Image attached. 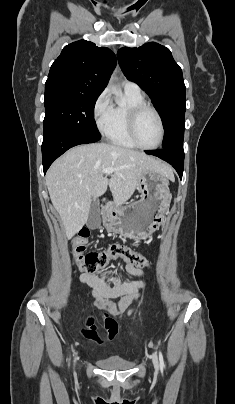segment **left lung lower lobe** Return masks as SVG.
<instances>
[{
  "label": "left lung lower lobe",
  "mask_w": 235,
  "mask_h": 404,
  "mask_svg": "<svg viewBox=\"0 0 235 404\" xmlns=\"http://www.w3.org/2000/svg\"><path fill=\"white\" fill-rule=\"evenodd\" d=\"M147 154L157 156L170 163L178 172L180 179L184 169V151L183 145L163 148L161 150L145 151Z\"/></svg>",
  "instance_id": "left-lung-lower-lobe-1"
}]
</instances>
